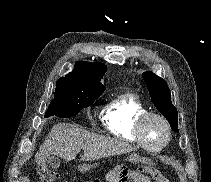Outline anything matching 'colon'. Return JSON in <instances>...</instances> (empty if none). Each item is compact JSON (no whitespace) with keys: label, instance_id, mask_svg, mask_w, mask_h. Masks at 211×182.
Listing matches in <instances>:
<instances>
[{"label":"colon","instance_id":"obj_1","mask_svg":"<svg viewBox=\"0 0 211 182\" xmlns=\"http://www.w3.org/2000/svg\"><path fill=\"white\" fill-rule=\"evenodd\" d=\"M37 169L41 182H56L57 174L45 161L40 160ZM145 174H149V177ZM109 179L116 182H170L160 171L151 166H142L137 169L118 166L111 170ZM88 182H102V180L93 179Z\"/></svg>","mask_w":211,"mask_h":182}]
</instances>
